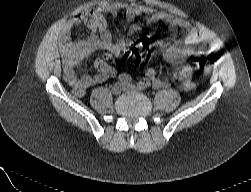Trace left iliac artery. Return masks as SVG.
Returning <instances> with one entry per match:
<instances>
[{"instance_id":"left-iliac-artery-1","label":"left iliac artery","mask_w":251,"mask_h":192,"mask_svg":"<svg viewBox=\"0 0 251 192\" xmlns=\"http://www.w3.org/2000/svg\"><path fill=\"white\" fill-rule=\"evenodd\" d=\"M150 85H151L150 82H142V81H140V82L137 84V86H138L139 89H141V90L146 89V88L149 87Z\"/></svg>"}]
</instances>
